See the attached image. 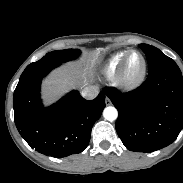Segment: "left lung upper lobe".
<instances>
[{"mask_svg": "<svg viewBox=\"0 0 183 183\" xmlns=\"http://www.w3.org/2000/svg\"><path fill=\"white\" fill-rule=\"evenodd\" d=\"M139 47L144 51L148 61V73L176 65L174 60L164 55L159 49L148 44H140Z\"/></svg>", "mask_w": 183, "mask_h": 183, "instance_id": "obj_1", "label": "left lung upper lobe"}]
</instances>
